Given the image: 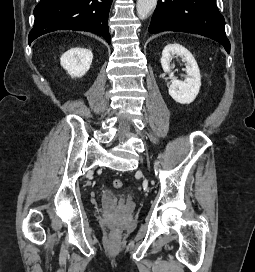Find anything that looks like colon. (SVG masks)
<instances>
[{
	"instance_id": "colon-1",
	"label": "colon",
	"mask_w": 255,
	"mask_h": 272,
	"mask_svg": "<svg viewBox=\"0 0 255 272\" xmlns=\"http://www.w3.org/2000/svg\"><path fill=\"white\" fill-rule=\"evenodd\" d=\"M113 186H114V188L119 189L123 186V181L120 179H115L113 181Z\"/></svg>"
}]
</instances>
